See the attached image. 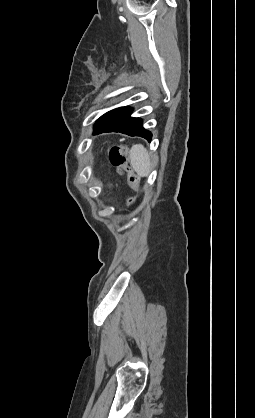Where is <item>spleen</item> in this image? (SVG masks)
Wrapping results in <instances>:
<instances>
[{"label": "spleen", "instance_id": "spleen-1", "mask_svg": "<svg viewBox=\"0 0 255 418\" xmlns=\"http://www.w3.org/2000/svg\"><path fill=\"white\" fill-rule=\"evenodd\" d=\"M131 165L138 176L147 177L151 170V160L148 151L142 144H136L130 150Z\"/></svg>", "mask_w": 255, "mask_h": 418}]
</instances>
